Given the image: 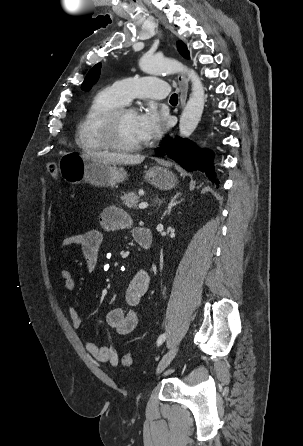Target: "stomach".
I'll use <instances>...</instances> for the list:
<instances>
[{"label":"stomach","mask_w":303,"mask_h":446,"mask_svg":"<svg viewBox=\"0 0 303 446\" xmlns=\"http://www.w3.org/2000/svg\"><path fill=\"white\" fill-rule=\"evenodd\" d=\"M61 177L70 184L89 182L108 187L123 181L127 173L115 164L95 161L74 152L64 153L58 162ZM145 179L161 190H170L178 183L176 176L166 168L153 167L145 173Z\"/></svg>","instance_id":"obj_1"}]
</instances>
